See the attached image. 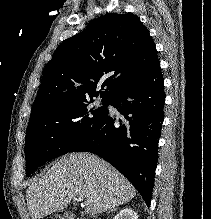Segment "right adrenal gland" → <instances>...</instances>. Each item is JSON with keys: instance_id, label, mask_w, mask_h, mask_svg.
<instances>
[{"instance_id": "2a0ac1e0", "label": "right adrenal gland", "mask_w": 211, "mask_h": 219, "mask_svg": "<svg viewBox=\"0 0 211 219\" xmlns=\"http://www.w3.org/2000/svg\"><path fill=\"white\" fill-rule=\"evenodd\" d=\"M116 210H117V208H113V209L109 210L108 213H110L112 211H116Z\"/></svg>"}]
</instances>
